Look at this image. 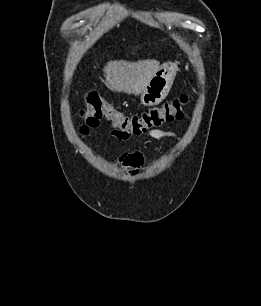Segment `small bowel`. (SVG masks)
<instances>
[{"label": "small bowel", "instance_id": "small-bowel-1", "mask_svg": "<svg viewBox=\"0 0 261 306\" xmlns=\"http://www.w3.org/2000/svg\"><path fill=\"white\" fill-rule=\"evenodd\" d=\"M112 135L119 138L114 132H112ZM148 135L154 139L174 138L176 136L175 132L162 129H154L150 131ZM118 160L120 165L131 175H137L139 168L144 163V157L139 150L125 152L119 157Z\"/></svg>", "mask_w": 261, "mask_h": 306}]
</instances>
